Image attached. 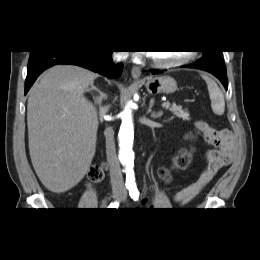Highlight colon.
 <instances>
[{
	"label": "colon",
	"mask_w": 260,
	"mask_h": 260,
	"mask_svg": "<svg viewBox=\"0 0 260 260\" xmlns=\"http://www.w3.org/2000/svg\"><path fill=\"white\" fill-rule=\"evenodd\" d=\"M189 138H190V136H189ZM189 158H190L189 152L182 151L181 153H179L174 159V164H173L172 168H170V167L159 168V170H158L159 179L164 182H169L172 177V169L173 168H175V169L183 168L187 164ZM104 171H105L104 164L94 166L89 172L90 181L94 182V183L100 182L104 177Z\"/></svg>",
	"instance_id": "1"
}]
</instances>
